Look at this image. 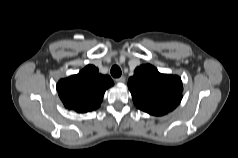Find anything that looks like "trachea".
Returning <instances> with one entry per match:
<instances>
[{
    "label": "trachea",
    "mask_w": 238,
    "mask_h": 158,
    "mask_svg": "<svg viewBox=\"0 0 238 158\" xmlns=\"http://www.w3.org/2000/svg\"><path fill=\"white\" fill-rule=\"evenodd\" d=\"M121 74H122V72H121V69H120L119 66L114 65V66L111 68V75H112L113 77L118 78V77L121 76Z\"/></svg>",
    "instance_id": "obj_1"
}]
</instances>
